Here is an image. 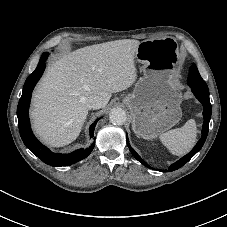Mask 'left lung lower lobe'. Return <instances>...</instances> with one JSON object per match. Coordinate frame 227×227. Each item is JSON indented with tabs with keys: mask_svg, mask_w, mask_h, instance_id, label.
Returning a JSON list of instances; mask_svg holds the SVG:
<instances>
[{
	"mask_svg": "<svg viewBox=\"0 0 227 227\" xmlns=\"http://www.w3.org/2000/svg\"><path fill=\"white\" fill-rule=\"evenodd\" d=\"M191 89H192V92L194 93V95L197 97V99L202 103V105L204 107V109H203L204 123H203V129H202V137L190 153H188L187 155L182 157L177 162L173 163L169 167L168 170H165V172H171V171L177 170V169L181 168L184 164H186L202 148V146L207 138V134H208V130H209V121H210L211 112H212V107H211L210 99H209V91L204 92L203 89H200L194 85L191 87ZM126 140H127V144H128V147H129L132 155L143 165L150 168V166L145 161H143L140 158V156L132 149V147L129 144L127 136H126ZM160 171L163 172V170H160Z\"/></svg>",
	"mask_w": 227,
	"mask_h": 227,
	"instance_id": "0a47b994",
	"label": "left lung lower lobe"
}]
</instances>
